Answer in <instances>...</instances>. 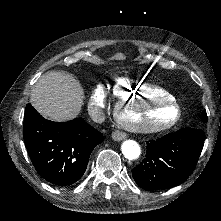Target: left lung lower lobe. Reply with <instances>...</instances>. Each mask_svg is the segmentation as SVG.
<instances>
[{
  "label": "left lung lower lobe",
  "mask_w": 221,
  "mask_h": 221,
  "mask_svg": "<svg viewBox=\"0 0 221 221\" xmlns=\"http://www.w3.org/2000/svg\"><path fill=\"white\" fill-rule=\"evenodd\" d=\"M146 143V157L132 170L133 178L145 190H163L184 182L193 172L204 145V133L183 128Z\"/></svg>",
  "instance_id": "obj_1"
}]
</instances>
